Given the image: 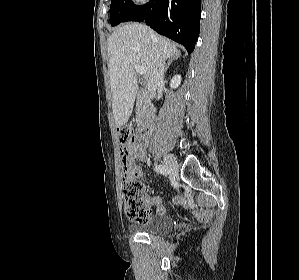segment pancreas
Segmentation results:
<instances>
[{"mask_svg":"<svg viewBox=\"0 0 299 280\" xmlns=\"http://www.w3.org/2000/svg\"><path fill=\"white\" fill-rule=\"evenodd\" d=\"M144 113V107L142 103L137 104V109H136V114H137V119L140 120L141 116Z\"/></svg>","mask_w":299,"mask_h":280,"instance_id":"pancreas-1","label":"pancreas"}]
</instances>
